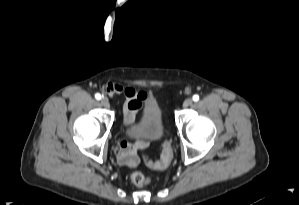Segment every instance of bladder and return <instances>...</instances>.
Returning <instances> with one entry per match:
<instances>
[{
    "mask_svg": "<svg viewBox=\"0 0 299 205\" xmlns=\"http://www.w3.org/2000/svg\"><path fill=\"white\" fill-rule=\"evenodd\" d=\"M166 132L164 113L155 98L145 103L139 120L131 121L125 127V134L129 138L147 142L161 140Z\"/></svg>",
    "mask_w": 299,
    "mask_h": 205,
    "instance_id": "1",
    "label": "bladder"
}]
</instances>
